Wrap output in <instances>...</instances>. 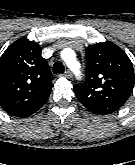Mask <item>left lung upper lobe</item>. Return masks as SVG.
I'll use <instances>...</instances> for the list:
<instances>
[{
    "instance_id": "obj_1",
    "label": "left lung upper lobe",
    "mask_w": 135,
    "mask_h": 165,
    "mask_svg": "<svg viewBox=\"0 0 135 165\" xmlns=\"http://www.w3.org/2000/svg\"><path fill=\"white\" fill-rule=\"evenodd\" d=\"M86 81L74 87L79 101L91 112L109 114L121 108L131 95L135 77L127 54L111 42L86 48Z\"/></svg>"
}]
</instances>
